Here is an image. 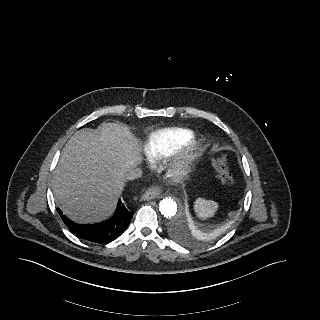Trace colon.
<instances>
[{
	"label": "colon",
	"mask_w": 320,
	"mask_h": 320,
	"mask_svg": "<svg viewBox=\"0 0 320 320\" xmlns=\"http://www.w3.org/2000/svg\"><path fill=\"white\" fill-rule=\"evenodd\" d=\"M216 170L218 177L224 183L225 185H232L233 184V178L230 174L227 160L224 157H220L217 160L216 163Z\"/></svg>",
	"instance_id": "5ec220e1"
}]
</instances>
